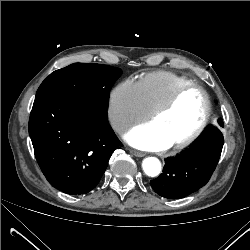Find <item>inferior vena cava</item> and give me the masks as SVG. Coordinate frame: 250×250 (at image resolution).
Masks as SVG:
<instances>
[{"label":"inferior vena cava","instance_id":"obj_1","mask_svg":"<svg viewBox=\"0 0 250 250\" xmlns=\"http://www.w3.org/2000/svg\"><path fill=\"white\" fill-rule=\"evenodd\" d=\"M111 125L113 129L118 132L123 131L128 127V124L125 121H113Z\"/></svg>","mask_w":250,"mask_h":250}]
</instances>
